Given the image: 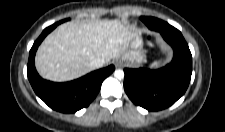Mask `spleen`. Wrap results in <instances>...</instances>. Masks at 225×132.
I'll use <instances>...</instances> for the list:
<instances>
[{"label":"spleen","mask_w":225,"mask_h":132,"mask_svg":"<svg viewBox=\"0 0 225 132\" xmlns=\"http://www.w3.org/2000/svg\"><path fill=\"white\" fill-rule=\"evenodd\" d=\"M165 64V61L164 60H161V61H158V62H154L152 65H151V68H159L161 67L162 65Z\"/></svg>","instance_id":"spleen-1"}]
</instances>
